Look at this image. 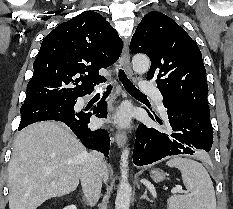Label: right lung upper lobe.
I'll use <instances>...</instances> for the list:
<instances>
[{
    "instance_id": "1",
    "label": "right lung upper lobe",
    "mask_w": 233,
    "mask_h": 209,
    "mask_svg": "<svg viewBox=\"0 0 233 209\" xmlns=\"http://www.w3.org/2000/svg\"><path fill=\"white\" fill-rule=\"evenodd\" d=\"M121 52L122 40L99 13L79 14L42 41L24 103L90 94L106 80L98 71L112 65Z\"/></svg>"
}]
</instances>
